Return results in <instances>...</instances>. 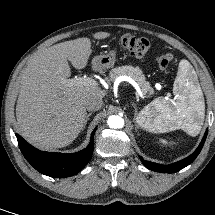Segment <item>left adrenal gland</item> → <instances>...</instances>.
<instances>
[{
    "instance_id": "left-adrenal-gland-1",
    "label": "left adrenal gland",
    "mask_w": 215,
    "mask_h": 215,
    "mask_svg": "<svg viewBox=\"0 0 215 215\" xmlns=\"http://www.w3.org/2000/svg\"><path fill=\"white\" fill-rule=\"evenodd\" d=\"M132 106L134 107V109H135V116H136V113H137V108H136V105H135V103H132Z\"/></svg>"
}]
</instances>
